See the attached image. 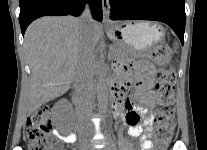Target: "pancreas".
<instances>
[{"instance_id": "pancreas-1", "label": "pancreas", "mask_w": 207, "mask_h": 150, "mask_svg": "<svg viewBox=\"0 0 207 150\" xmlns=\"http://www.w3.org/2000/svg\"><path fill=\"white\" fill-rule=\"evenodd\" d=\"M121 52V49L119 47H116L113 49V56L116 60H118L119 58H117V55Z\"/></svg>"}]
</instances>
